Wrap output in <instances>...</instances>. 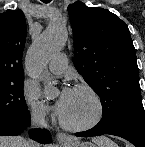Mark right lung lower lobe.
<instances>
[{"label":"right lung lower lobe","instance_id":"right-lung-lower-lobe-1","mask_svg":"<svg viewBox=\"0 0 145 147\" xmlns=\"http://www.w3.org/2000/svg\"><path fill=\"white\" fill-rule=\"evenodd\" d=\"M30 122V114L14 122L0 124V136H16L22 133ZM30 137L42 144L51 142V135L48 131L42 129H33L29 132Z\"/></svg>","mask_w":145,"mask_h":147}]
</instances>
